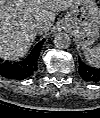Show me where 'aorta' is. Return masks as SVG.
Returning a JSON list of instances; mask_svg holds the SVG:
<instances>
[{
	"instance_id": "1",
	"label": "aorta",
	"mask_w": 100,
	"mask_h": 118,
	"mask_svg": "<svg viewBox=\"0 0 100 118\" xmlns=\"http://www.w3.org/2000/svg\"><path fill=\"white\" fill-rule=\"evenodd\" d=\"M54 44L58 49H67L71 44V39L67 33L60 32L55 36Z\"/></svg>"
}]
</instances>
